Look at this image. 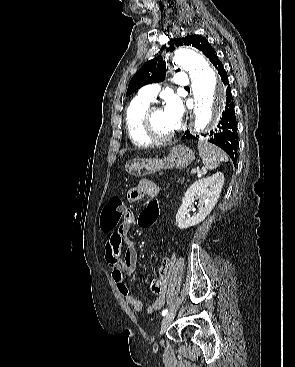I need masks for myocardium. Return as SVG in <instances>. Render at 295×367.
<instances>
[{"instance_id":"myocardium-1","label":"myocardium","mask_w":295,"mask_h":367,"mask_svg":"<svg viewBox=\"0 0 295 367\" xmlns=\"http://www.w3.org/2000/svg\"><path fill=\"white\" fill-rule=\"evenodd\" d=\"M159 105H150L144 112L142 117V130L144 135L153 143H165L171 141L176 136V131L169 135L159 134L153 126V115L156 111L160 110Z\"/></svg>"}]
</instances>
